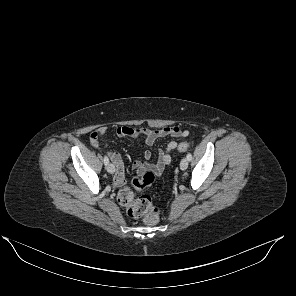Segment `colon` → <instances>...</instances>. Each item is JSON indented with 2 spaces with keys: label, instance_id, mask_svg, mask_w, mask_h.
Masks as SVG:
<instances>
[{
  "label": "colon",
  "instance_id": "5ec220e1",
  "mask_svg": "<svg viewBox=\"0 0 296 296\" xmlns=\"http://www.w3.org/2000/svg\"><path fill=\"white\" fill-rule=\"evenodd\" d=\"M189 142H181L177 146L179 152H186L190 148ZM155 182V173L145 171L133 179V186L137 189L151 187ZM119 202L127 208V213L133 218H142L144 223L155 225L159 220L158 210L153 206L149 196L134 199L133 192L129 187L123 188L118 195Z\"/></svg>",
  "mask_w": 296,
  "mask_h": 296
}]
</instances>
